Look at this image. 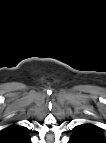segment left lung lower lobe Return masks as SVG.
I'll return each mask as SVG.
<instances>
[{
    "instance_id": "left-lung-lower-lobe-1",
    "label": "left lung lower lobe",
    "mask_w": 106,
    "mask_h": 143,
    "mask_svg": "<svg viewBox=\"0 0 106 143\" xmlns=\"http://www.w3.org/2000/svg\"><path fill=\"white\" fill-rule=\"evenodd\" d=\"M68 143H84L78 136L72 135Z\"/></svg>"
}]
</instances>
